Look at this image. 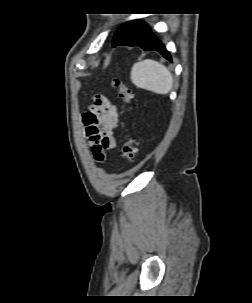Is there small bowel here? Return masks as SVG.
<instances>
[{"mask_svg": "<svg viewBox=\"0 0 252 303\" xmlns=\"http://www.w3.org/2000/svg\"><path fill=\"white\" fill-rule=\"evenodd\" d=\"M121 116L107 98L101 94L93 95V103L83 118L85 137L96 162L106 160V150L115 146V131Z\"/></svg>", "mask_w": 252, "mask_h": 303, "instance_id": "c3829d8e", "label": "small bowel"}]
</instances>
